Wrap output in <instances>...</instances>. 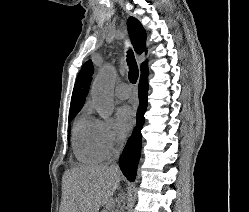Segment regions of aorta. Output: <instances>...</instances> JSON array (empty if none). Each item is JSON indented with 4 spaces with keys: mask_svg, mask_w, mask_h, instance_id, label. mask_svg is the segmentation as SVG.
Instances as JSON below:
<instances>
[{
    "mask_svg": "<svg viewBox=\"0 0 249 212\" xmlns=\"http://www.w3.org/2000/svg\"><path fill=\"white\" fill-rule=\"evenodd\" d=\"M116 78L115 68L106 64L101 68L92 84V100L97 112L103 119H108L114 110L113 87Z\"/></svg>",
    "mask_w": 249,
    "mask_h": 212,
    "instance_id": "aorta-1",
    "label": "aorta"
}]
</instances>
